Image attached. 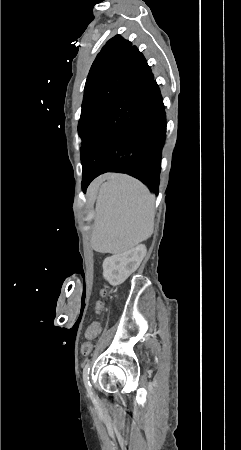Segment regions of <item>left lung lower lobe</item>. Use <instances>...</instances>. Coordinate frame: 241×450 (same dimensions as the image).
<instances>
[{
    "label": "left lung lower lobe",
    "mask_w": 241,
    "mask_h": 450,
    "mask_svg": "<svg viewBox=\"0 0 241 450\" xmlns=\"http://www.w3.org/2000/svg\"><path fill=\"white\" fill-rule=\"evenodd\" d=\"M116 101L94 122L81 149L82 189L106 172L127 173L158 193L166 115L159 86L133 46Z\"/></svg>",
    "instance_id": "0a47b994"
}]
</instances>
